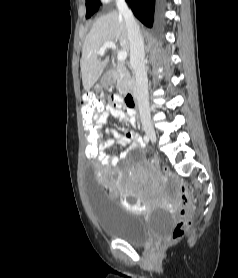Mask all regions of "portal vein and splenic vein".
Here are the masks:
<instances>
[{"mask_svg":"<svg viewBox=\"0 0 238 278\" xmlns=\"http://www.w3.org/2000/svg\"><path fill=\"white\" fill-rule=\"evenodd\" d=\"M113 49L116 50V44L114 42H105L103 46L99 49L98 54L100 56L104 55L106 49ZM127 58V52L126 51H119L117 54V59L119 62H124Z\"/></svg>","mask_w":238,"mask_h":278,"instance_id":"obj_1","label":"portal vein and splenic vein"}]
</instances>
